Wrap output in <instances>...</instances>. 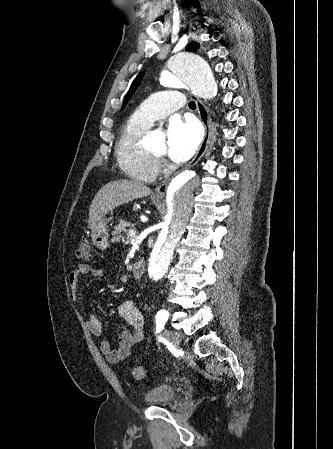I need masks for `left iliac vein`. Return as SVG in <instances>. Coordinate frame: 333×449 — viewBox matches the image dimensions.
I'll return each instance as SVG.
<instances>
[{
	"instance_id": "obj_1",
	"label": "left iliac vein",
	"mask_w": 333,
	"mask_h": 449,
	"mask_svg": "<svg viewBox=\"0 0 333 449\" xmlns=\"http://www.w3.org/2000/svg\"><path fill=\"white\" fill-rule=\"evenodd\" d=\"M165 336L167 340L173 345V347L178 348L181 341V335L177 331L165 330Z\"/></svg>"
}]
</instances>
